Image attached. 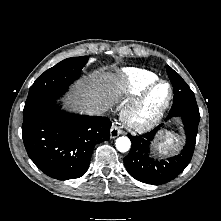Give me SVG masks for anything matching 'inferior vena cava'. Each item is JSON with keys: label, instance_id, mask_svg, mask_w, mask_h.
<instances>
[{"label": "inferior vena cava", "instance_id": "602c4592", "mask_svg": "<svg viewBox=\"0 0 221 221\" xmlns=\"http://www.w3.org/2000/svg\"><path fill=\"white\" fill-rule=\"evenodd\" d=\"M87 113L90 115H102L103 108H100V107L91 108V109L87 110Z\"/></svg>", "mask_w": 221, "mask_h": 221}]
</instances>
